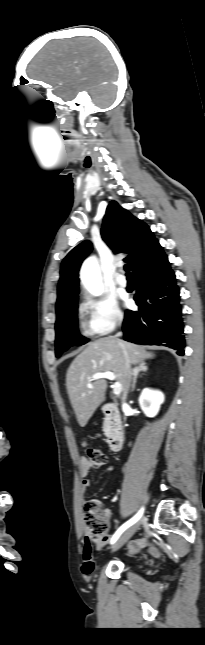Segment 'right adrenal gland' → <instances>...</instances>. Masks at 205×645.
<instances>
[{"label":"right adrenal gland","instance_id":"right-adrenal-gland-1","mask_svg":"<svg viewBox=\"0 0 205 645\" xmlns=\"http://www.w3.org/2000/svg\"><path fill=\"white\" fill-rule=\"evenodd\" d=\"M147 370H148V366H147V364H146L145 362H141V363H139V364L134 368V370H133V375H134V377H133L132 388H131V391H132V392L135 390L136 380H137V377H138L139 373H140V372H147Z\"/></svg>","mask_w":205,"mask_h":645}]
</instances>
